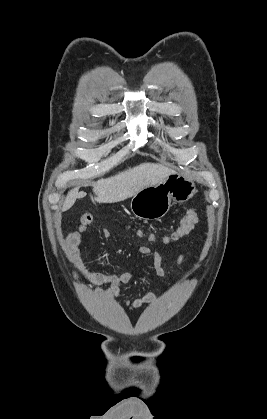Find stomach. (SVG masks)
I'll use <instances>...</instances> for the list:
<instances>
[{
	"label": "stomach",
	"mask_w": 267,
	"mask_h": 419,
	"mask_svg": "<svg viewBox=\"0 0 267 419\" xmlns=\"http://www.w3.org/2000/svg\"><path fill=\"white\" fill-rule=\"evenodd\" d=\"M196 193L195 183L178 172H173L156 185L148 186L135 194L131 211L139 219H160L169 211L171 201L185 202Z\"/></svg>",
	"instance_id": "0dacf381"
}]
</instances>
